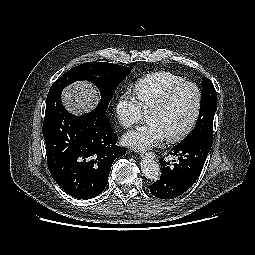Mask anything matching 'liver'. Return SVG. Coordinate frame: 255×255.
<instances>
[{
    "label": "liver",
    "mask_w": 255,
    "mask_h": 255,
    "mask_svg": "<svg viewBox=\"0 0 255 255\" xmlns=\"http://www.w3.org/2000/svg\"><path fill=\"white\" fill-rule=\"evenodd\" d=\"M97 100L96 90L86 82L75 83L63 91L64 105L73 114L87 113L94 108Z\"/></svg>",
    "instance_id": "liver-1"
}]
</instances>
